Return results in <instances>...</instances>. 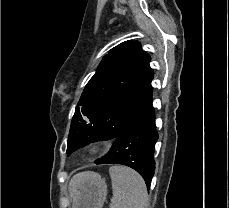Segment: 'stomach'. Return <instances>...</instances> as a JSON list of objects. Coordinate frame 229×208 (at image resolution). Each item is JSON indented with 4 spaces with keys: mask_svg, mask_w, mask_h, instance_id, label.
Wrapping results in <instances>:
<instances>
[{
    "mask_svg": "<svg viewBox=\"0 0 229 208\" xmlns=\"http://www.w3.org/2000/svg\"><path fill=\"white\" fill-rule=\"evenodd\" d=\"M107 186L101 176L76 186L71 194L73 208H103Z\"/></svg>",
    "mask_w": 229,
    "mask_h": 208,
    "instance_id": "1",
    "label": "stomach"
}]
</instances>
